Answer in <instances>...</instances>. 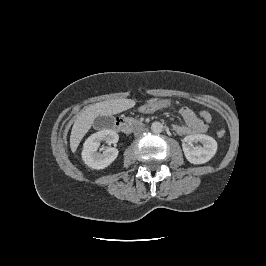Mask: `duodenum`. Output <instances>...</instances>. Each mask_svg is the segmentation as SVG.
<instances>
[{
	"instance_id": "410a0bca",
	"label": "duodenum",
	"mask_w": 266,
	"mask_h": 266,
	"mask_svg": "<svg viewBox=\"0 0 266 266\" xmlns=\"http://www.w3.org/2000/svg\"><path fill=\"white\" fill-rule=\"evenodd\" d=\"M115 129L121 133H127L132 130L133 126L128 120L122 116H118L115 120Z\"/></svg>"
}]
</instances>
